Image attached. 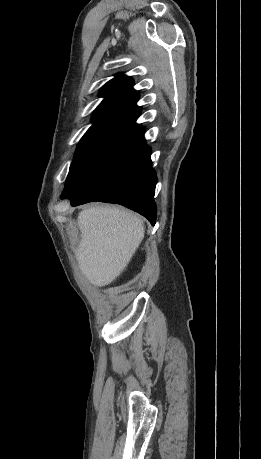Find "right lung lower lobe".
<instances>
[{"mask_svg":"<svg viewBox=\"0 0 261 459\" xmlns=\"http://www.w3.org/2000/svg\"><path fill=\"white\" fill-rule=\"evenodd\" d=\"M145 142L114 169L98 180L83 196L68 198L72 206L91 201L118 203L145 216L152 225L156 220L154 203L157 177Z\"/></svg>","mask_w":261,"mask_h":459,"instance_id":"98d812e1","label":"right lung lower lobe"}]
</instances>
